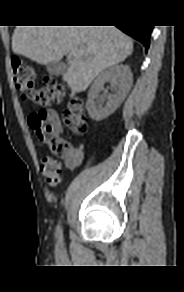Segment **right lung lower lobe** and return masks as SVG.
Listing matches in <instances>:
<instances>
[{"label": "right lung lower lobe", "mask_w": 184, "mask_h": 292, "mask_svg": "<svg viewBox=\"0 0 184 292\" xmlns=\"http://www.w3.org/2000/svg\"><path fill=\"white\" fill-rule=\"evenodd\" d=\"M119 29L133 37L134 39L140 41L145 49L148 50L150 44V34L152 32L153 26L148 25H117Z\"/></svg>", "instance_id": "98d812e1"}]
</instances>
